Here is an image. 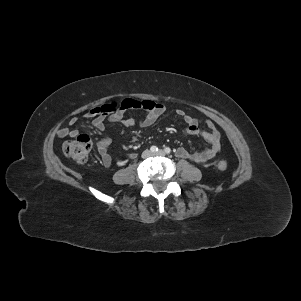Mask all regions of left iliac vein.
<instances>
[{
	"instance_id": "1",
	"label": "left iliac vein",
	"mask_w": 301,
	"mask_h": 301,
	"mask_svg": "<svg viewBox=\"0 0 301 301\" xmlns=\"http://www.w3.org/2000/svg\"><path fill=\"white\" fill-rule=\"evenodd\" d=\"M157 156H165V152L163 150H159L158 152L154 153Z\"/></svg>"
}]
</instances>
